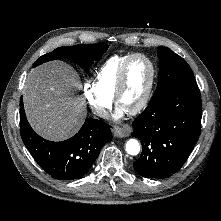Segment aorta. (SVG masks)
Wrapping results in <instances>:
<instances>
[{"mask_svg": "<svg viewBox=\"0 0 221 221\" xmlns=\"http://www.w3.org/2000/svg\"><path fill=\"white\" fill-rule=\"evenodd\" d=\"M126 152L130 155H137L140 151L139 142L136 139H130L125 146Z\"/></svg>", "mask_w": 221, "mask_h": 221, "instance_id": "obj_1", "label": "aorta"}]
</instances>
